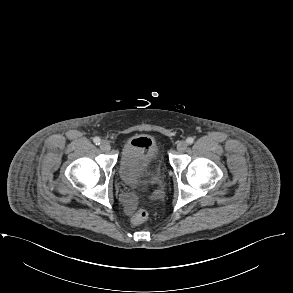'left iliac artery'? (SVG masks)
I'll return each mask as SVG.
<instances>
[{"label": "left iliac artery", "instance_id": "44dca946", "mask_svg": "<svg viewBox=\"0 0 293 293\" xmlns=\"http://www.w3.org/2000/svg\"><path fill=\"white\" fill-rule=\"evenodd\" d=\"M186 142H187L188 144H192V143L194 142V139H193L192 137H188V138L186 139Z\"/></svg>", "mask_w": 293, "mask_h": 293}]
</instances>
